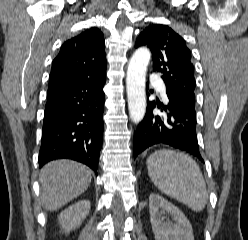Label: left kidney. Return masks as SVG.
I'll return each mask as SVG.
<instances>
[{
  "mask_svg": "<svg viewBox=\"0 0 248 240\" xmlns=\"http://www.w3.org/2000/svg\"><path fill=\"white\" fill-rule=\"evenodd\" d=\"M149 213L156 240H194L192 226L186 216L160 195H150ZM165 215L172 219H166Z\"/></svg>",
  "mask_w": 248,
  "mask_h": 240,
  "instance_id": "1",
  "label": "left kidney"
}]
</instances>
